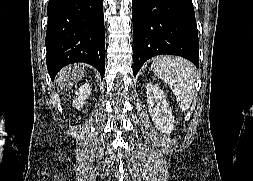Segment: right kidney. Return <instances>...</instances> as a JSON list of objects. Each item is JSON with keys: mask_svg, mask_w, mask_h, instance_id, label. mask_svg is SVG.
<instances>
[{"mask_svg": "<svg viewBox=\"0 0 253 181\" xmlns=\"http://www.w3.org/2000/svg\"><path fill=\"white\" fill-rule=\"evenodd\" d=\"M91 89L89 84L82 85L77 91L76 95L78 96L75 100H73V104L75 107L79 110L83 107L85 104L86 98H88V95L90 94Z\"/></svg>", "mask_w": 253, "mask_h": 181, "instance_id": "right-kidney-1", "label": "right kidney"}]
</instances>
